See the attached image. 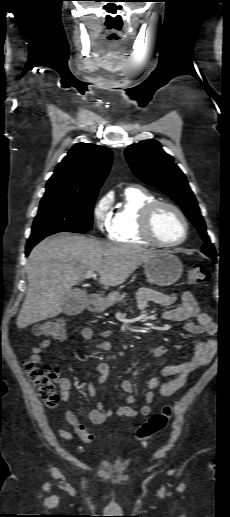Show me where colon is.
<instances>
[{
    "mask_svg": "<svg viewBox=\"0 0 230 517\" xmlns=\"http://www.w3.org/2000/svg\"><path fill=\"white\" fill-rule=\"evenodd\" d=\"M210 280V272L202 264L193 265L188 271V282L192 285L205 284ZM33 332L37 336L64 339L66 328L61 321H48L33 326ZM26 374L33 383L39 396L48 407L56 405L58 394L56 384L59 373L56 369L48 366H36L34 363H26ZM171 410L166 407L161 413L154 414L136 432V438L143 442L163 430L168 424Z\"/></svg>",
    "mask_w": 230,
    "mask_h": 517,
    "instance_id": "5ec220e1",
    "label": "colon"
}]
</instances>
